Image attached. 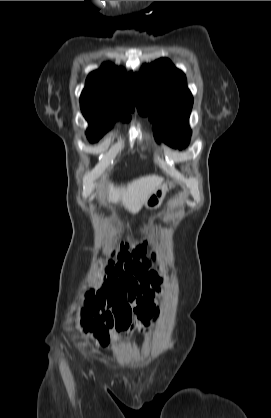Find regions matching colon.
<instances>
[{
    "instance_id": "colon-1",
    "label": "colon",
    "mask_w": 271,
    "mask_h": 418,
    "mask_svg": "<svg viewBox=\"0 0 271 418\" xmlns=\"http://www.w3.org/2000/svg\"><path fill=\"white\" fill-rule=\"evenodd\" d=\"M143 254H144V246L143 245H139L137 247V249L133 252V254H130L126 250H123L119 254V259L120 260H123V261H129L131 259V257L139 258ZM136 314H139V313L137 312ZM116 315L118 317L119 314H116ZM130 315H132V314H130ZM85 320L86 321H90V323H89V329L95 331L102 339L105 338V326L100 321H98L96 319H92L88 314L85 315Z\"/></svg>"
}]
</instances>
